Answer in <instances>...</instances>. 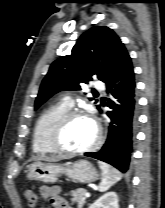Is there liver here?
<instances>
[{"mask_svg": "<svg viewBox=\"0 0 165 208\" xmlns=\"http://www.w3.org/2000/svg\"><path fill=\"white\" fill-rule=\"evenodd\" d=\"M34 159L48 161V162H56V161H60L62 159H65V157H62V156H56V157L41 156V157H36Z\"/></svg>", "mask_w": 165, "mask_h": 208, "instance_id": "obj_1", "label": "liver"}]
</instances>
